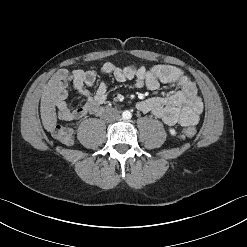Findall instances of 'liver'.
Listing matches in <instances>:
<instances>
[{"label": "liver", "mask_w": 247, "mask_h": 247, "mask_svg": "<svg viewBox=\"0 0 247 247\" xmlns=\"http://www.w3.org/2000/svg\"><path fill=\"white\" fill-rule=\"evenodd\" d=\"M59 92V80L53 76L44 86L40 104L41 120L48 132H52L57 123L55 104Z\"/></svg>", "instance_id": "obj_1"}]
</instances>
